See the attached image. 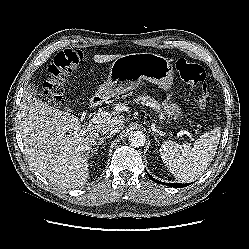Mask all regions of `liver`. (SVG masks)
Wrapping results in <instances>:
<instances>
[{
    "mask_svg": "<svg viewBox=\"0 0 249 249\" xmlns=\"http://www.w3.org/2000/svg\"><path fill=\"white\" fill-rule=\"evenodd\" d=\"M120 55H94L106 63ZM19 129L25 152L34 168L53 184L77 188L89 179L88 158L104 125L124 128L122 116L97 124L81 125L78 118L23 92L18 109Z\"/></svg>",
    "mask_w": 249,
    "mask_h": 249,
    "instance_id": "liver-1",
    "label": "liver"
}]
</instances>
